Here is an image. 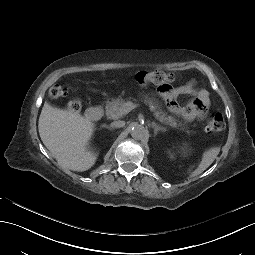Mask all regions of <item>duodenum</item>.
Masks as SVG:
<instances>
[{
	"instance_id": "duodenum-1",
	"label": "duodenum",
	"mask_w": 255,
	"mask_h": 255,
	"mask_svg": "<svg viewBox=\"0 0 255 255\" xmlns=\"http://www.w3.org/2000/svg\"><path fill=\"white\" fill-rule=\"evenodd\" d=\"M102 113H103V111L100 107H90L86 111V117L89 120L96 121L101 118Z\"/></svg>"
}]
</instances>
